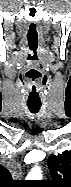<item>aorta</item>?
Segmentation results:
<instances>
[{
    "mask_svg": "<svg viewBox=\"0 0 71 187\" xmlns=\"http://www.w3.org/2000/svg\"><path fill=\"white\" fill-rule=\"evenodd\" d=\"M28 179L32 180H41L42 179V172L40 167H34L27 176Z\"/></svg>",
    "mask_w": 71,
    "mask_h": 187,
    "instance_id": "1",
    "label": "aorta"
}]
</instances>
